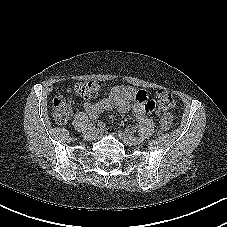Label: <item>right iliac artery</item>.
Segmentation results:
<instances>
[{
    "mask_svg": "<svg viewBox=\"0 0 227 227\" xmlns=\"http://www.w3.org/2000/svg\"><path fill=\"white\" fill-rule=\"evenodd\" d=\"M96 119V121H95V123H94V125H93V128L94 129H97L98 127H99V123H101V118H95ZM87 128V127H86ZM91 128V127H90Z\"/></svg>",
    "mask_w": 227,
    "mask_h": 227,
    "instance_id": "82829eb1",
    "label": "right iliac artery"
}]
</instances>
